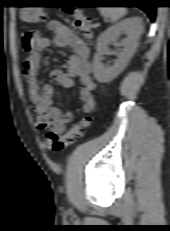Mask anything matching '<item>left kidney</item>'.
I'll return each mask as SVG.
<instances>
[{
  "label": "left kidney",
  "instance_id": "left-kidney-1",
  "mask_svg": "<svg viewBox=\"0 0 170 231\" xmlns=\"http://www.w3.org/2000/svg\"><path fill=\"white\" fill-rule=\"evenodd\" d=\"M142 30V20L138 17H131L109 27L98 37L97 52L94 55L93 63L94 77L98 82L107 83L126 68L137 48ZM121 33H127V38L119 43L124 49L118 54V58L113 66L105 67L102 60L103 55L107 52V46L111 42H116L117 36Z\"/></svg>",
  "mask_w": 170,
  "mask_h": 231
}]
</instances>
